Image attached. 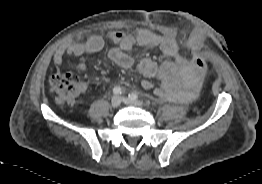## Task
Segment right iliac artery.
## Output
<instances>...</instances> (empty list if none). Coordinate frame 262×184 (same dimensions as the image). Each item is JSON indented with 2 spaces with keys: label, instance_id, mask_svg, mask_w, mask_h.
I'll return each mask as SVG.
<instances>
[{
  "label": "right iliac artery",
  "instance_id": "82829eb1",
  "mask_svg": "<svg viewBox=\"0 0 262 184\" xmlns=\"http://www.w3.org/2000/svg\"><path fill=\"white\" fill-rule=\"evenodd\" d=\"M122 92H123V90H122V88L119 87V86H116V87L113 88V93H114L115 95H121Z\"/></svg>",
  "mask_w": 262,
  "mask_h": 184
}]
</instances>
